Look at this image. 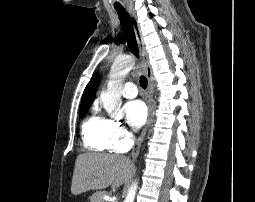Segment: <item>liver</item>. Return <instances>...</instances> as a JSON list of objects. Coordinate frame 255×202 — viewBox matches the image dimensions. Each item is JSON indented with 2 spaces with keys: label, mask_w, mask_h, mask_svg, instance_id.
<instances>
[{
  "label": "liver",
  "mask_w": 255,
  "mask_h": 202,
  "mask_svg": "<svg viewBox=\"0 0 255 202\" xmlns=\"http://www.w3.org/2000/svg\"><path fill=\"white\" fill-rule=\"evenodd\" d=\"M133 171L134 165L122 155L81 154L75 162L71 193L79 195L91 189L119 187L130 179Z\"/></svg>",
  "instance_id": "1"
}]
</instances>
